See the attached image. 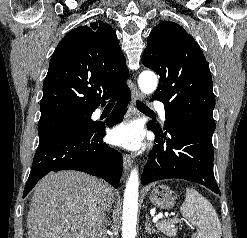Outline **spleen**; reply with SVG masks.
<instances>
[{"label":"spleen","mask_w":247,"mask_h":238,"mask_svg":"<svg viewBox=\"0 0 247 238\" xmlns=\"http://www.w3.org/2000/svg\"><path fill=\"white\" fill-rule=\"evenodd\" d=\"M180 211L197 229L193 238H221L222 229L218 215L212 204L197 190L186 189L185 201Z\"/></svg>","instance_id":"obj_1"}]
</instances>
